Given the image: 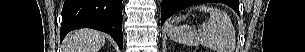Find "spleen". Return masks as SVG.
Here are the masks:
<instances>
[{
	"label": "spleen",
	"instance_id": "spleen-1",
	"mask_svg": "<svg viewBox=\"0 0 305 52\" xmlns=\"http://www.w3.org/2000/svg\"><path fill=\"white\" fill-rule=\"evenodd\" d=\"M195 9L208 12L209 20L200 25L198 31L188 25L174 26L172 20L167 27L170 39L188 46L202 45L214 52H231L234 30L228 15L219 9L205 5Z\"/></svg>",
	"mask_w": 305,
	"mask_h": 52
}]
</instances>
